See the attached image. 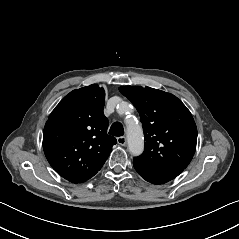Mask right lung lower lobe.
I'll use <instances>...</instances> for the list:
<instances>
[{
	"label": "right lung lower lobe",
	"mask_w": 239,
	"mask_h": 239,
	"mask_svg": "<svg viewBox=\"0 0 239 239\" xmlns=\"http://www.w3.org/2000/svg\"><path fill=\"white\" fill-rule=\"evenodd\" d=\"M70 182H73V183H81V182H77V181H70ZM84 182V181H83Z\"/></svg>",
	"instance_id": "obj_1"
}]
</instances>
